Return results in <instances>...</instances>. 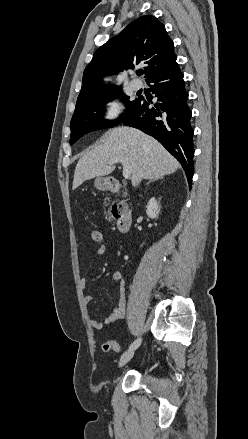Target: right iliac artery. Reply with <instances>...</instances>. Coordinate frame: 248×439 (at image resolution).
I'll list each match as a JSON object with an SVG mask.
<instances>
[{"instance_id":"1","label":"right iliac artery","mask_w":248,"mask_h":439,"mask_svg":"<svg viewBox=\"0 0 248 439\" xmlns=\"http://www.w3.org/2000/svg\"><path fill=\"white\" fill-rule=\"evenodd\" d=\"M144 340L145 339L139 335L138 337L135 338V341L130 345L129 349L138 348V346L141 345Z\"/></svg>"}]
</instances>
